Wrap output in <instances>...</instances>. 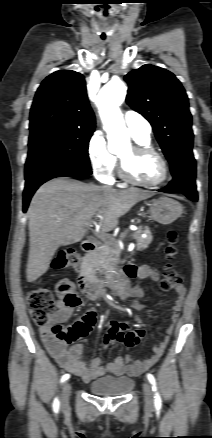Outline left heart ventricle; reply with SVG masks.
<instances>
[{
  "label": "left heart ventricle",
  "mask_w": 212,
  "mask_h": 438,
  "mask_svg": "<svg viewBox=\"0 0 212 438\" xmlns=\"http://www.w3.org/2000/svg\"><path fill=\"white\" fill-rule=\"evenodd\" d=\"M120 157L126 161L131 176L139 181L155 182L162 177L161 163L154 155H135L132 148L129 147L120 153Z\"/></svg>",
  "instance_id": "1"
}]
</instances>
